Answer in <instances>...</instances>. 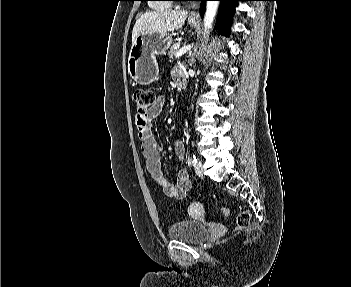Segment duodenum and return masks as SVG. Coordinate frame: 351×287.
<instances>
[{"label":"duodenum","instance_id":"obj_1","mask_svg":"<svg viewBox=\"0 0 351 287\" xmlns=\"http://www.w3.org/2000/svg\"><path fill=\"white\" fill-rule=\"evenodd\" d=\"M179 82H180V86H182V87H183V86L185 85V82H184V80H183V79H180V80H179Z\"/></svg>","mask_w":351,"mask_h":287}]
</instances>
